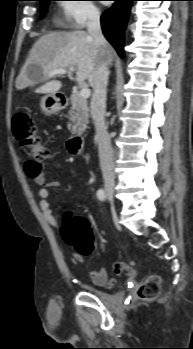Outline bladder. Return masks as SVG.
Here are the masks:
<instances>
[{"instance_id":"obj_1","label":"bladder","mask_w":193,"mask_h":349,"mask_svg":"<svg viewBox=\"0 0 193 349\" xmlns=\"http://www.w3.org/2000/svg\"><path fill=\"white\" fill-rule=\"evenodd\" d=\"M88 291H90L93 295H95L98 299L105 301L108 298V294L106 291L102 290V289H98L95 287H90L88 289Z\"/></svg>"}]
</instances>
